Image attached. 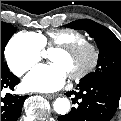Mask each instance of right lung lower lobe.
Masks as SVG:
<instances>
[{
    "mask_svg": "<svg viewBox=\"0 0 121 121\" xmlns=\"http://www.w3.org/2000/svg\"><path fill=\"white\" fill-rule=\"evenodd\" d=\"M20 79L13 75L6 63L1 64V91L5 88L14 90ZM27 96L1 95V121H16L21 114Z\"/></svg>",
    "mask_w": 121,
    "mask_h": 121,
    "instance_id": "1",
    "label": "right lung lower lobe"
}]
</instances>
